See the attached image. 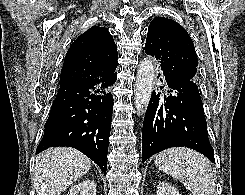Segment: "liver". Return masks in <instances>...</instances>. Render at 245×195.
Returning a JSON list of instances; mask_svg holds the SVG:
<instances>
[{
  "label": "liver",
  "instance_id": "liver-1",
  "mask_svg": "<svg viewBox=\"0 0 245 195\" xmlns=\"http://www.w3.org/2000/svg\"><path fill=\"white\" fill-rule=\"evenodd\" d=\"M90 167L91 160L74 148L56 147L42 152L35 163L37 195H60Z\"/></svg>",
  "mask_w": 245,
  "mask_h": 195
}]
</instances>
